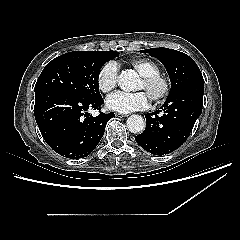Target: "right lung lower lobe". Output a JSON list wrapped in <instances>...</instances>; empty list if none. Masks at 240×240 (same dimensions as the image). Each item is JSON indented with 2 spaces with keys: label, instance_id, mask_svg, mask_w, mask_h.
Masks as SVG:
<instances>
[{
  "label": "right lung lower lobe",
  "instance_id": "right-lung-lower-lobe-1",
  "mask_svg": "<svg viewBox=\"0 0 240 240\" xmlns=\"http://www.w3.org/2000/svg\"><path fill=\"white\" fill-rule=\"evenodd\" d=\"M102 97L84 99L61 91L35 93L34 114L46 143L58 154L78 159L88 156L100 142L109 114L92 116L88 110H100Z\"/></svg>",
  "mask_w": 240,
  "mask_h": 240
}]
</instances>
